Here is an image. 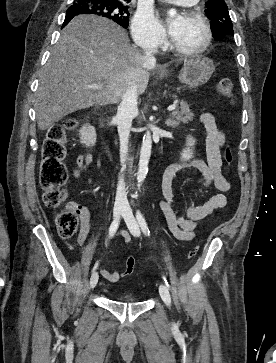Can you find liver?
Instances as JSON below:
<instances>
[{"mask_svg":"<svg viewBox=\"0 0 276 363\" xmlns=\"http://www.w3.org/2000/svg\"><path fill=\"white\" fill-rule=\"evenodd\" d=\"M129 44L127 32L94 15L74 17L63 29L39 75L36 98L38 128L46 130L75 111L118 103L131 84L143 94L149 70ZM102 84L101 90L89 86Z\"/></svg>","mask_w":276,"mask_h":363,"instance_id":"6515ba94","label":"liver"}]
</instances>
